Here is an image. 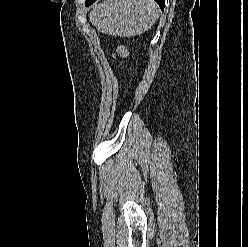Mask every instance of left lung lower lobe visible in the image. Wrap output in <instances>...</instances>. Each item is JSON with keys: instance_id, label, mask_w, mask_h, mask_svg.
Returning <instances> with one entry per match:
<instances>
[{"instance_id": "1", "label": "left lung lower lobe", "mask_w": 248, "mask_h": 247, "mask_svg": "<svg viewBox=\"0 0 248 247\" xmlns=\"http://www.w3.org/2000/svg\"><path fill=\"white\" fill-rule=\"evenodd\" d=\"M96 0H86L85 5L90 6L92 3H94ZM160 8L163 10L165 6V0H155Z\"/></svg>"}]
</instances>
